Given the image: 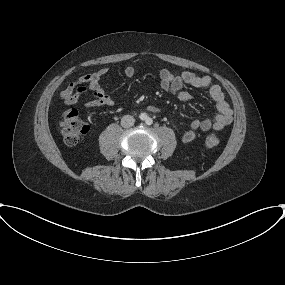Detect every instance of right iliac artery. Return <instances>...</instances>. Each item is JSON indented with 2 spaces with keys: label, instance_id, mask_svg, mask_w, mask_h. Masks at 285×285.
Instances as JSON below:
<instances>
[{
  "label": "right iliac artery",
  "instance_id": "82829eb1",
  "mask_svg": "<svg viewBox=\"0 0 285 285\" xmlns=\"http://www.w3.org/2000/svg\"><path fill=\"white\" fill-rule=\"evenodd\" d=\"M140 118H141L142 120H145V119H146V115H145V114H141V115H140Z\"/></svg>",
  "mask_w": 285,
  "mask_h": 285
}]
</instances>
